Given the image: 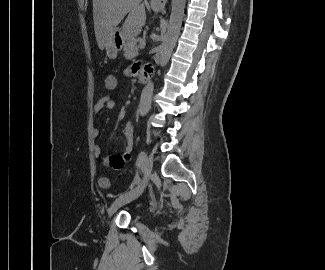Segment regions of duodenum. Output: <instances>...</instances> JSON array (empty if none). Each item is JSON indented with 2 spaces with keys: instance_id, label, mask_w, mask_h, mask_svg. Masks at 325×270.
<instances>
[{
  "instance_id": "obj_1",
  "label": "duodenum",
  "mask_w": 325,
  "mask_h": 270,
  "mask_svg": "<svg viewBox=\"0 0 325 270\" xmlns=\"http://www.w3.org/2000/svg\"><path fill=\"white\" fill-rule=\"evenodd\" d=\"M147 79H148L147 75H142L140 77V81L143 82V83L147 82Z\"/></svg>"
}]
</instances>
